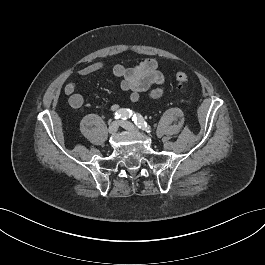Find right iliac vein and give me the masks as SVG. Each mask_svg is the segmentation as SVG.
Returning a JSON list of instances; mask_svg holds the SVG:
<instances>
[{"label":"right iliac vein","mask_w":265,"mask_h":265,"mask_svg":"<svg viewBox=\"0 0 265 265\" xmlns=\"http://www.w3.org/2000/svg\"><path fill=\"white\" fill-rule=\"evenodd\" d=\"M118 127H119V124H118L117 121L112 122V123L109 125V128H108V132H109V134H114V133H116V131L118 130Z\"/></svg>","instance_id":"1"}]
</instances>
